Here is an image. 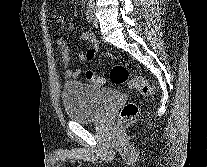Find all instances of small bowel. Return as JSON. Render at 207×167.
Returning <instances> with one entry per match:
<instances>
[{
  "label": "small bowel",
  "instance_id": "obj_1",
  "mask_svg": "<svg viewBox=\"0 0 207 167\" xmlns=\"http://www.w3.org/2000/svg\"><path fill=\"white\" fill-rule=\"evenodd\" d=\"M82 5V4H81ZM65 17L63 15H56L54 17V21L59 24L63 25L65 23ZM82 39L88 43L87 50L79 55V59L84 62H90L92 61L98 51V42L94 36V34L91 31H86L82 34ZM58 45L61 50V56H62V62L65 69V78L67 79H78L82 77L83 72L80 69L72 70L69 67L70 63V54L68 52V49L66 47V44L62 38H58Z\"/></svg>",
  "mask_w": 207,
  "mask_h": 167
}]
</instances>
